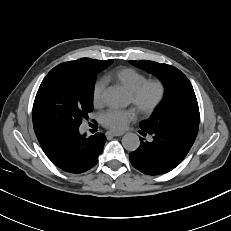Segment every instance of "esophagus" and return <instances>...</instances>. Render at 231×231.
I'll return each instance as SVG.
<instances>
[{
    "instance_id": "esophagus-1",
    "label": "esophagus",
    "mask_w": 231,
    "mask_h": 231,
    "mask_svg": "<svg viewBox=\"0 0 231 231\" xmlns=\"http://www.w3.org/2000/svg\"><path fill=\"white\" fill-rule=\"evenodd\" d=\"M124 134V132L122 131H119V132H116V131H109L106 133L107 136H122Z\"/></svg>"
}]
</instances>
